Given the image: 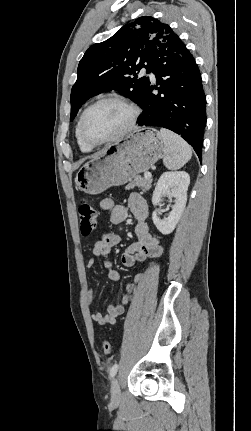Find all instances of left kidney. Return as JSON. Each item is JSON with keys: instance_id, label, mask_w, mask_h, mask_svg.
Segmentation results:
<instances>
[{"instance_id": "left-kidney-1", "label": "left kidney", "mask_w": 251, "mask_h": 431, "mask_svg": "<svg viewBox=\"0 0 251 431\" xmlns=\"http://www.w3.org/2000/svg\"><path fill=\"white\" fill-rule=\"evenodd\" d=\"M190 183V176L185 171H171L163 173L155 187L152 197L154 206L161 202L163 196L170 199L174 198V205L168 217L160 219L155 210L152 214V220L156 228L164 235L173 232L187 202V190Z\"/></svg>"}]
</instances>
